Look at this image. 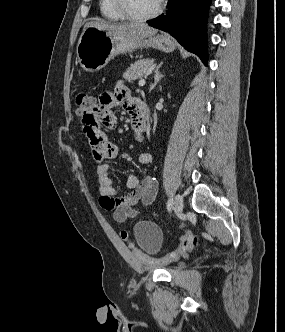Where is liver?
Masks as SVG:
<instances>
[{"label":"liver","mask_w":285,"mask_h":332,"mask_svg":"<svg viewBox=\"0 0 285 332\" xmlns=\"http://www.w3.org/2000/svg\"><path fill=\"white\" fill-rule=\"evenodd\" d=\"M89 26L107 30L113 35L125 36L134 39H145L157 32L156 29L139 23L113 24L98 20L85 24V27Z\"/></svg>","instance_id":"obj_1"}]
</instances>
